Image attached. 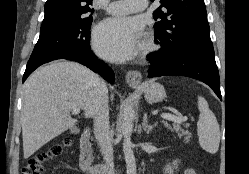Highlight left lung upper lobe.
<instances>
[{
    "instance_id": "left-lung-upper-lobe-1",
    "label": "left lung upper lobe",
    "mask_w": 249,
    "mask_h": 174,
    "mask_svg": "<svg viewBox=\"0 0 249 174\" xmlns=\"http://www.w3.org/2000/svg\"><path fill=\"white\" fill-rule=\"evenodd\" d=\"M154 2L155 0H151ZM153 12L155 42L168 58L213 47L204 0H160Z\"/></svg>"
}]
</instances>
